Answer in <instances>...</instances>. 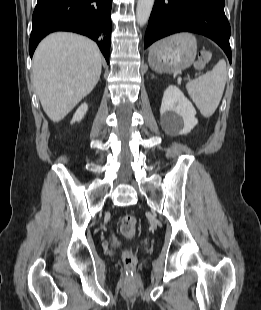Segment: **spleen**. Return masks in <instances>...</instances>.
I'll list each match as a JSON object with an SVG mask.
<instances>
[{"mask_svg":"<svg viewBox=\"0 0 261 310\" xmlns=\"http://www.w3.org/2000/svg\"><path fill=\"white\" fill-rule=\"evenodd\" d=\"M226 80V62L220 60L211 71L186 84L189 96L203 117L210 118L216 111L224 92Z\"/></svg>","mask_w":261,"mask_h":310,"instance_id":"1","label":"spleen"}]
</instances>
